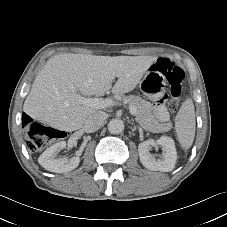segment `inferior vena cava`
I'll return each mask as SVG.
<instances>
[{"instance_id":"602c4592","label":"inferior vena cava","mask_w":227,"mask_h":227,"mask_svg":"<svg viewBox=\"0 0 227 227\" xmlns=\"http://www.w3.org/2000/svg\"><path fill=\"white\" fill-rule=\"evenodd\" d=\"M106 116V113L103 111H99L89 116L84 123V131L87 133L97 131L104 124Z\"/></svg>"}]
</instances>
